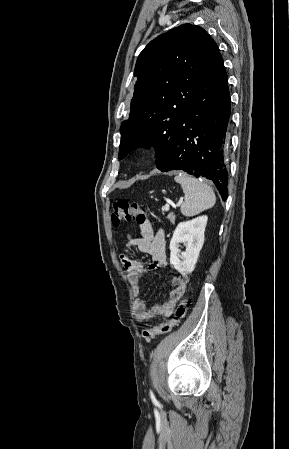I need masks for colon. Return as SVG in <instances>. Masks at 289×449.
Segmentation results:
<instances>
[{
  "mask_svg": "<svg viewBox=\"0 0 289 449\" xmlns=\"http://www.w3.org/2000/svg\"><path fill=\"white\" fill-rule=\"evenodd\" d=\"M147 217V208L138 203H130L125 199H119L113 204L111 220L114 226H118L123 222H129L131 220H136L140 223L147 220ZM188 303L189 298L187 295H185L182 301L176 307L170 320L160 324L159 326H155L150 329H143L142 336L145 339L149 340L156 336L169 333L175 326L179 324V322L185 316Z\"/></svg>",
  "mask_w": 289,
  "mask_h": 449,
  "instance_id": "colon-1",
  "label": "colon"
}]
</instances>
